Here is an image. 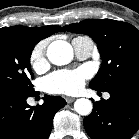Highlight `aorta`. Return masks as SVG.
Here are the masks:
<instances>
[{
  "label": "aorta",
  "mask_w": 139,
  "mask_h": 139,
  "mask_svg": "<svg viewBox=\"0 0 139 139\" xmlns=\"http://www.w3.org/2000/svg\"><path fill=\"white\" fill-rule=\"evenodd\" d=\"M47 57L49 61L55 65L68 64L73 58L72 46L62 40L53 41L47 49ZM93 105L89 99L80 98L74 103L75 111L83 116L89 115Z\"/></svg>",
  "instance_id": "1"
}]
</instances>
